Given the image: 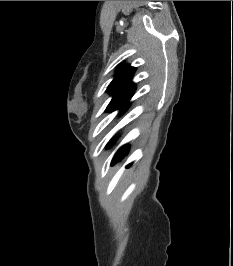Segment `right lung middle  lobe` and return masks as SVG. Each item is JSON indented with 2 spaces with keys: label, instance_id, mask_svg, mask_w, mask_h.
<instances>
[{
  "label": "right lung middle lobe",
  "instance_id": "obj_1",
  "mask_svg": "<svg viewBox=\"0 0 233 266\" xmlns=\"http://www.w3.org/2000/svg\"><path fill=\"white\" fill-rule=\"evenodd\" d=\"M132 94H123L113 96L111 102L109 103L106 111H114L120 109L121 111L126 109L129 105V101Z\"/></svg>",
  "mask_w": 233,
  "mask_h": 266
}]
</instances>
